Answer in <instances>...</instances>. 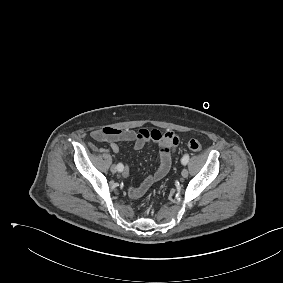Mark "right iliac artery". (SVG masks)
<instances>
[{"label":"right iliac artery","instance_id":"obj_1","mask_svg":"<svg viewBox=\"0 0 283 283\" xmlns=\"http://www.w3.org/2000/svg\"><path fill=\"white\" fill-rule=\"evenodd\" d=\"M117 168H118V171L122 172L124 167H123V165L121 163H119L117 165Z\"/></svg>","mask_w":283,"mask_h":283}]
</instances>
